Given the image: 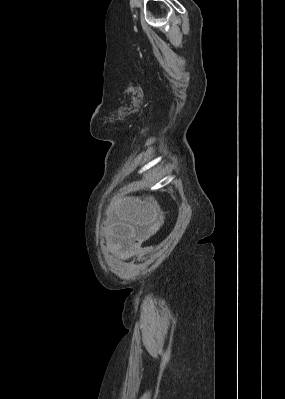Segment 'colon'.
I'll use <instances>...</instances> for the list:
<instances>
[{"instance_id": "obj_1", "label": "colon", "mask_w": 285, "mask_h": 399, "mask_svg": "<svg viewBox=\"0 0 285 399\" xmlns=\"http://www.w3.org/2000/svg\"><path fill=\"white\" fill-rule=\"evenodd\" d=\"M162 224V222L157 223V227H160Z\"/></svg>"}]
</instances>
